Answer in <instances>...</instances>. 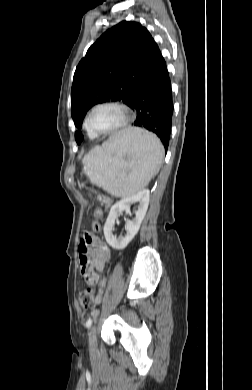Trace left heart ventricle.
Listing matches in <instances>:
<instances>
[{
    "instance_id": "obj_1",
    "label": "left heart ventricle",
    "mask_w": 252,
    "mask_h": 390,
    "mask_svg": "<svg viewBox=\"0 0 252 390\" xmlns=\"http://www.w3.org/2000/svg\"><path fill=\"white\" fill-rule=\"evenodd\" d=\"M120 119L118 111L110 107L97 109L91 117V126L95 130H107L113 127Z\"/></svg>"
}]
</instances>
